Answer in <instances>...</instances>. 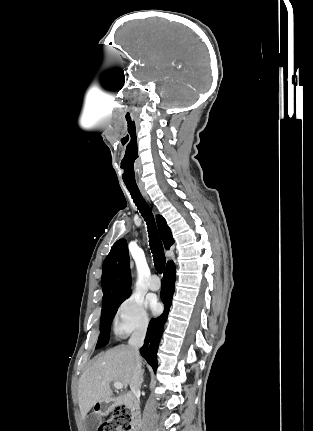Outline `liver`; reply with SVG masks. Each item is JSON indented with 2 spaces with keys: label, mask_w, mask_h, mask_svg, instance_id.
<instances>
[{
  "label": "liver",
  "mask_w": 313,
  "mask_h": 431,
  "mask_svg": "<svg viewBox=\"0 0 313 431\" xmlns=\"http://www.w3.org/2000/svg\"><path fill=\"white\" fill-rule=\"evenodd\" d=\"M141 362V358L139 357ZM135 356L130 346H116L99 354L79 379L78 401L82 418L96 403L107 402L113 392L111 382H121L126 389L135 370Z\"/></svg>",
  "instance_id": "1"
}]
</instances>
